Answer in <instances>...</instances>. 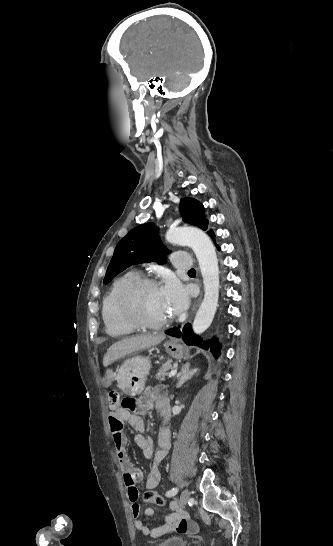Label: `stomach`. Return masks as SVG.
<instances>
[{
	"instance_id": "1",
	"label": "stomach",
	"mask_w": 333,
	"mask_h": 546,
	"mask_svg": "<svg viewBox=\"0 0 333 546\" xmlns=\"http://www.w3.org/2000/svg\"><path fill=\"white\" fill-rule=\"evenodd\" d=\"M166 352L175 359H181L184 354L183 346L175 339L164 344ZM151 365L148 358L135 356L126 360L117 370L116 379L122 391L127 395H137L144 390L147 375Z\"/></svg>"
}]
</instances>
